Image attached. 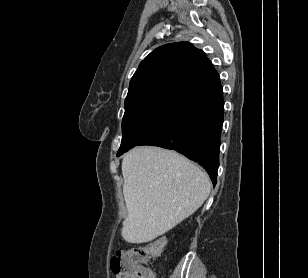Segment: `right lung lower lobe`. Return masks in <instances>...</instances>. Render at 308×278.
Masks as SVG:
<instances>
[{"label": "right lung lower lobe", "instance_id": "98d812e1", "mask_svg": "<svg viewBox=\"0 0 308 278\" xmlns=\"http://www.w3.org/2000/svg\"><path fill=\"white\" fill-rule=\"evenodd\" d=\"M223 114V91L220 88L183 108L139 145L159 146L185 155L202 165L215 185Z\"/></svg>", "mask_w": 308, "mask_h": 278}]
</instances>
